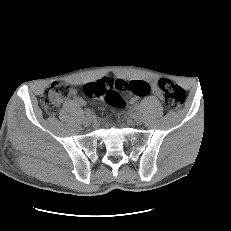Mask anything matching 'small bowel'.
Instances as JSON below:
<instances>
[{
	"label": "small bowel",
	"mask_w": 231,
	"mask_h": 231,
	"mask_svg": "<svg viewBox=\"0 0 231 231\" xmlns=\"http://www.w3.org/2000/svg\"><path fill=\"white\" fill-rule=\"evenodd\" d=\"M148 84H149V86H150L151 92H152L155 96H157V97H159V98L162 99V98H163V92H162L161 89L158 87L156 81L153 80V79H151V80L149 81ZM131 101L134 102V101H135V98H132ZM74 102H75L77 105H79V106H83V105L85 104L84 100H83L82 98L78 97V96H75V97H74Z\"/></svg>",
	"instance_id": "obj_1"
}]
</instances>
